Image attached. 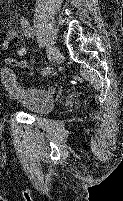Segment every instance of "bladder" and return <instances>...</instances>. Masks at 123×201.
I'll list each match as a JSON object with an SVG mask.
<instances>
[{
	"instance_id": "1",
	"label": "bladder",
	"mask_w": 123,
	"mask_h": 201,
	"mask_svg": "<svg viewBox=\"0 0 123 201\" xmlns=\"http://www.w3.org/2000/svg\"><path fill=\"white\" fill-rule=\"evenodd\" d=\"M0 78L9 94L10 101L21 109L36 115H45L55 106L52 89L26 83L10 68L0 69Z\"/></svg>"
}]
</instances>
